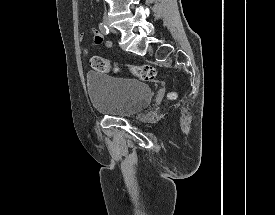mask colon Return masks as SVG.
I'll return each instance as SVG.
<instances>
[{
    "mask_svg": "<svg viewBox=\"0 0 275 215\" xmlns=\"http://www.w3.org/2000/svg\"><path fill=\"white\" fill-rule=\"evenodd\" d=\"M90 66L98 72H107L111 68L118 70L117 66H113L111 61L101 56H93L90 59ZM132 75L141 81L152 82L156 76V69L149 65H131L128 67ZM169 98H175V94L172 92L169 94Z\"/></svg>",
    "mask_w": 275,
    "mask_h": 215,
    "instance_id": "5ec220e1",
    "label": "colon"
}]
</instances>
